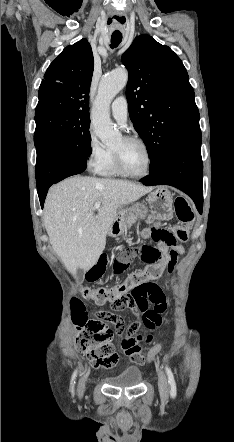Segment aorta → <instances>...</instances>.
<instances>
[{"instance_id": "1", "label": "aorta", "mask_w": 234, "mask_h": 442, "mask_svg": "<svg viewBox=\"0 0 234 442\" xmlns=\"http://www.w3.org/2000/svg\"><path fill=\"white\" fill-rule=\"evenodd\" d=\"M128 72L125 69L114 70L105 75L99 84L98 94L92 111V124L95 134L105 144H112L120 137L110 119V104L114 97L126 86Z\"/></svg>"}]
</instances>
